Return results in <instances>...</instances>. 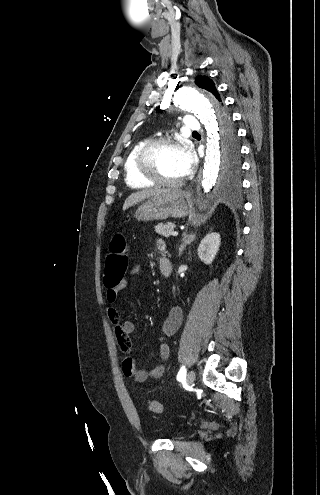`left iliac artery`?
<instances>
[{
    "mask_svg": "<svg viewBox=\"0 0 320 495\" xmlns=\"http://www.w3.org/2000/svg\"><path fill=\"white\" fill-rule=\"evenodd\" d=\"M185 376H186V369H185V366H182L178 375H177V380H183L185 379Z\"/></svg>",
    "mask_w": 320,
    "mask_h": 495,
    "instance_id": "1",
    "label": "left iliac artery"
}]
</instances>
